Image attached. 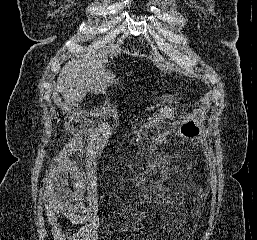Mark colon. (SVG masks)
Returning <instances> with one entry per match:
<instances>
[{
	"instance_id": "obj_1",
	"label": "colon",
	"mask_w": 257,
	"mask_h": 240,
	"mask_svg": "<svg viewBox=\"0 0 257 240\" xmlns=\"http://www.w3.org/2000/svg\"><path fill=\"white\" fill-rule=\"evenodd\" d=\"M205 100V99H204ZM204 100L198 103L189 119L180 127L179 137L182 141H189L197 138L200 134V120L204 112ZM176 147V145H174ZM172 160V153L167 152L162 157L160 174L164 175L169 171Z\"/></svg>"
}]
</instances>
